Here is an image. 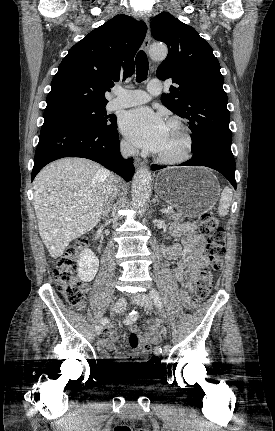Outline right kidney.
Wrapping results in <instances>:
<instances>
[{
	"label": "right kidney",
	"mask_w": 275,
	"mask_h": 431,
	"mask_svg": "<svg viewBox=\"0 0 275 431\" xmlns=\"http://www.w3.org/2000/svg\"><path fill=\"white\" fill-rule=\"evenodd\" d=\"M78 277L84 282H90L96 276L99 267L98 257L89 249H84L77 261Z\"/></svg>",
	"instance_id": "right-kidney-1"
}]
</instances>
